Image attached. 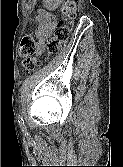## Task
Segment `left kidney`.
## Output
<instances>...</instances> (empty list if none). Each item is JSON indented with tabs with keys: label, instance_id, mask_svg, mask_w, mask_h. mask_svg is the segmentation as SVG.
Masks as SVG:
<instances>
[{
	"label": "left kidney",
	"instance_id": "obj_1",
	"mask_svg": "<svg viewBox=\"0 0 123 167\" xmlns=\"http://www.w3.org/2000/svg\"><path fill=\"white\" fill-rule=\"evenodd\" d=\"M44 2H45V4L47 5V6H49L50 5V1L51 0H43ZM60 0H56V3L54 4V6L53 7H58V5L60 4Z\"/></svg>",
	"mask_w": 123,
	"mask_h": 167
}]
</instances>
